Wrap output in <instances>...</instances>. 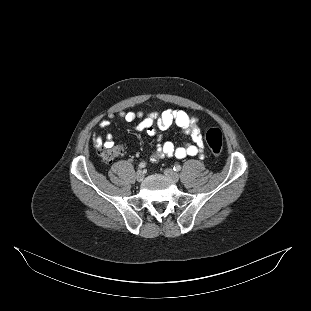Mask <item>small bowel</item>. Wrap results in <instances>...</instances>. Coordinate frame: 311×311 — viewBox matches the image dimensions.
Returning <instances> with one entry per match:
<instances>
[{"instance_id":"c3829d8e","label":"small bowel","mask_w":311,"mask_h":311,"mask_svg":"<svg viewBox=\"0 0 311 311\" xmlns=\"http://www.w3.org/2000/svg\"><path fill=\"white\" fill-rule=\"evenodd\" d=\"M120 118L126 122H132L136 119L141 121L135 126L137 131H145L155 142V148L151 154V161L156 162L164 157H175L183 159L187 156L195 157L202 155L204 152V142L202 140L201 131L198 126V120L195 117L188 115L183 110L166 109L160 113L150 112L135 113V112H122ZM113 120V115H108L99 123L100 128L108 127ZM173 124L177 125L180 130L191 138V142L176 147L170 141H163V136L157 133L167 130ZM93 144L100 147L103 144L112 145L113 141L110 136L104 138L100 133L95 132L92 136Z\"/></svg>"}]
</instances>
